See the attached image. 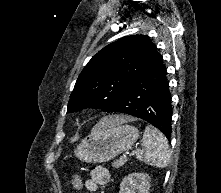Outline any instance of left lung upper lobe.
Returning a JSON list of instances; mask_svg holds the SVG:
<instances>
[{"mask_svg":"<svg viewBox=\"0 0 221 193\" xmlns=\"http://www.w3.org/2000/svg\"><path fill=\"white\" fill-rule=\"evenodd\" d=\"M161 57L145 35L127 36L107 45L79 75L68 111L92 107L107 112L125 95L131 83Z\"/></svg>","mask_w":221,"mask_h":193,"instance_id":"1","label":"left lung upper lobe"}]
</instances>
